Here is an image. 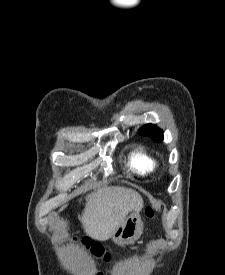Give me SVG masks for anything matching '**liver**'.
Returning a JSON list of instances; mask_svg holds the SVG:
<instances>
[{
    "label": "liver",
    "mask_w": 225,
    "mask_h": 275,
    "mask_svg": "<svg viewBox=\"0 0 225 275\" xmlns=\"http://www.w3.org/2000/svg\"><path fill=\"white\" fill-rule=\"evenodd\" d=\"M143 199L135 190L103 186L87 194L86 204L80 217L87 235L106 240L112 237L118 226L132 211L143 207Z\"/></svg>",
    "instance_id": "liver-1"
}]
</instances>
